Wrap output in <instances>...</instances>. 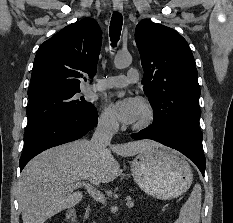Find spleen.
Here are the masks:
<instances>
[{
	"instance_id": "3e777b00",
	"label": "spleen",
	"mask_w": 233,
	"mask_h": 223,
	"mask_svg": "<svg viewBox=\"0 0 233 223\" xmlns=\"http://www.w3.org/2000/svg\"><path fill=\"white\" fill-rule=\"evenodd\" d=\"M201 185L195 183L190 197L182 205L176 223H199L201 211Z\"/></svg>"
}]
</instances>
